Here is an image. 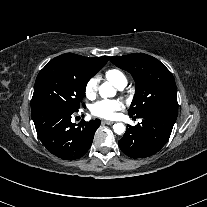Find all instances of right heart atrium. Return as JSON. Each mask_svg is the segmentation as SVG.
I'll return each instance as SVG.
<instances>
[{
    "label": "right heart atrium",
    "mask_w": 207,
    "mask_h": 207,
    "mask_svg": "<svg viewBox=\"0 0 207 207\" xmlns=\"http://www.w3.org/2000/svg\"><path fill=\"white\" fill-rule=\"evenodd\" d=\"M97 79L95 77L90 78L84 87V92L87 97H92L96 94L97 91Z\"/></svg>",
    "instance_id": "obj_1"
}]
</instances>
